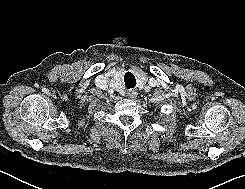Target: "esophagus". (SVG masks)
Returning <instances> with one entry per match:
<instances>
[{"mask_svg":"<svg viewBox=\"0 0 245 189\" xmlns=\"http://www.w3.org/2000/svg\"><path fill=\"white\" fill-rule=\"evenodd\" d=\"M138 95V92L136 90H129L127 92V96L131 99L136 98Z\"/></svg>","mask_w":245,"mask_h":189,"instance_id":"1","label":"esophagus"}]
</instances>
